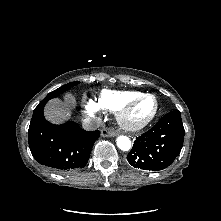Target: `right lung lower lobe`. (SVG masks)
Wrapping results in <instances>:
<instances>
[{
  "mask_svg": "<svg viewBox=\"0 0 221 221\" xmlns=\"http://www.w3.org/2000/svg\"><path fill=\"white\" fill-rule=\"evenodd\" d=\"M47 101L43 99L38 104L30 122L28 136L32 155L40 164L59 172L83 168L100 131H85L72 121L62 125L49 123L43 116Z\"/></svg>",
  "mask_w": 221,
  "mask_h": 221,
  "instance_id": "right-lung-lower-lobe-1",
  "label": "right lung lower lobe"
}]
</instances>
